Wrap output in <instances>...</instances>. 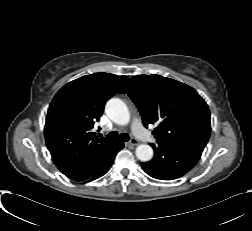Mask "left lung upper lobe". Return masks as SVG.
Returning a JSON list of instances; mask_svg holds the SVG:
<instances>
[{
    "label": "left lung upper lobe",
    "mask_w": 252,
    "mask_h": 231,
    "mask_svg": "<svg viewBox=\"0 0 252 231\" xmlns=\"http://www.w3.org/2000/svg\"><path fill=\"white\" fill-rule=\"evenodd\" d=\"M136 104L144 126L157 124V142L189 143L204 148L211 126L206 102L190 86L160 75L132 77L120 90Z\"/></svg>",
    "instance_id": "1"
}]
</instances>
